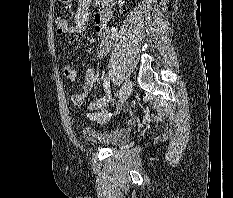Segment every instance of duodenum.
Returning a JSON list of instances; mask_svg holds the SVG:
<instances>
[{
  "label": "duodenum",
  "instance_id": "410a0bca",
  "mask_svg": "<svg viewBox=\"0 0 233 198\" xmlns=\"http://www.w3.org/2000/svg\"><path fill=\"white\" fill-rule=\"evenodd\" d=\"M111 2V0H105V3L109 4Z\"/></svg>",
  "mask_w": 233,
  "mask_h": 198
}]
</instances>
